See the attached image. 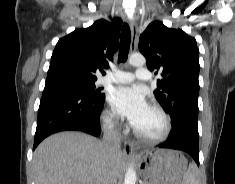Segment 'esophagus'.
<instances>
[{"label": "esophagus", "instance_id": "34e87169", "mask_svg": "<svg viewBox=\"0 0 235 184\" xmlns=\"http://www.w3.org/2000/svg\"><path fill=\"white\" fill-rule=\"evenodd\" d=\"M130 28L132 36L130 52L134 53L136 50L137 36H138V26L135 20H131ZM123 154L124 156H135V148L131 142L129 141L124 142Z\"/></svg>", "mask_w": 235, "mask_h": 184}]
</instances>
